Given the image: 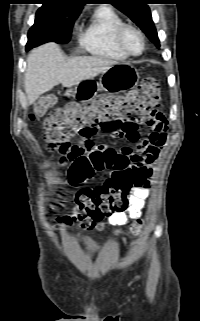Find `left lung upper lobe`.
<instances>
[{"label":"left lung upper lobe","instance_id":"5c2ea615","mask_svg":"<svg viewBox=\"0 0 200 321\" xmlns=\"http://www.w3.org/2000/svg\"><path fill=\"white\" fill-rule=\"evenodd\" d=\"M107 1L127 15L154 44L159 46L158 34L152 20L151 11L147 5L149 0Z\"/></svg>","mask_w":200,"mask_h":321}]
</instances>
